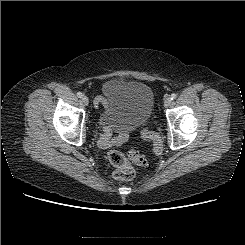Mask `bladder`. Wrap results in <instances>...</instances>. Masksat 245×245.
I'll return each mask as SVG.
<instances>
[{
    "mask_svg": "<svg viewBox=\"0 0 245 245\" xmlns=\"http://www.w3.org/2000/svg\"><path fill=\"white\" fill-rule=\"evenodd\" d=\"M104 89L108 99L98 116V124L136 128L151 117L154 94L145 83L114 79Z\"/></svg>",
    "mask_w": 245,
    "mask_h": 245,
    "instance_id": "1",
    "label": "bladder"
}]
</instances>
